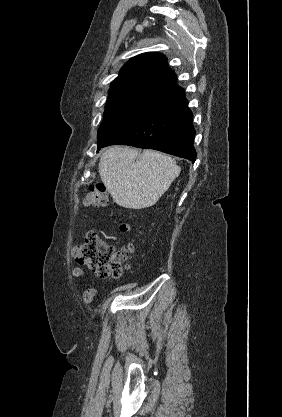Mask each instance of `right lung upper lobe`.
<instances>
[{"instance_id":"1","label":"right lung upper lobe","mask_w":282,"mask_h":417,"mask_svg":"<svg viewBox=\"0 0 282 417\" xmlns=\"http://www.w3.org/2000/svg\"><path fill=\"white\" fill-rule=\"evenodd\" d=\"M175 73L160 53H143L130 59L111 83L109 93L140 91L161 94L176 85Z\"/></svg>"}]
</instances>
